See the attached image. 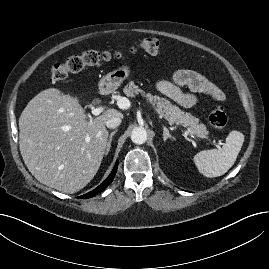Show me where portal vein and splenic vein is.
<instances>
[{"label": "portal vein and splenic vein", "instance_id": "portal-vein-and-splenic-vein-1", "mask_svg": "<svg viewBox=\"0 0 269 269\" xmlns=\"http://www.w3.org/2000/svg\"><path fill=\"white\" fill-rule=\"evenodd\" d=\"M119 106H120V108H122V109H124V108H126L127 107V105L126 104H122L121 103V101H119ZM104 111V107H97V108H92V114L94 115V116H98L99 114H101L102 112ZM188 135H190L192 138H196L190 131H187L186 132ZM211 143H213L214 145H216L217 147H219V145L221 144V143H216L215 141H211Z\"/></svg>", "mask_w": 269, "mask_h": 269}]
</instances>
